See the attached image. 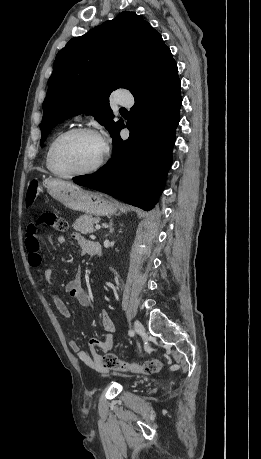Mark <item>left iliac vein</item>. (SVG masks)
Instances as JSON below:
<instances>
[{
	"mask_svg": "<svg viewBox=\"0 0 261 459\" xmlns=\"http://www.w3.org/2000/svg\"><path fill=\"white\" fill-rule=\"evenodd\" d=\"M134 329H135V332H136L138 335H140L142 338L145 337V329H144L142 323L139 322L138 320H136V321L134 322Z\"/></svg>",
	"mask_w": 261,
	"mask_h": 459,
	"instance_id": "1",
	"label": "left iliac vein"
}]
</instances>
